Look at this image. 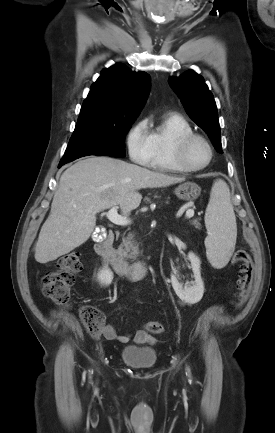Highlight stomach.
Here are the masks:
<instances>
[{"mask_svg": "<svg viewBox=\"0 0 275 433\" xmlns=\"http://www.w3.org/2000/svg\"><path fill=\"white\" fill-rule=\"evenodd\" d=\"M201 193V188L193 182H185L175 189L176 196L184 201L196 200Z\"/></svg>", "mask_w": 275, "mask_h": 433, "instance_id": "0dacf381", "label": "stomach"}]
</instances>
